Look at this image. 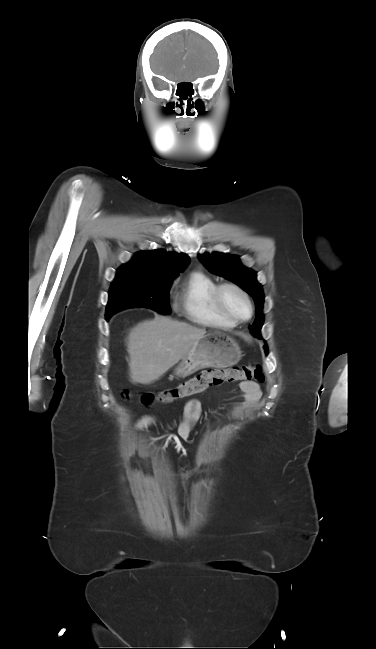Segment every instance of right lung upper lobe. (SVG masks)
<instances>
[{
    "label": "right lung upper lobe",
    "instance_id": "right-lung-upper-lobe-1",
    "mask_svg": "<svg viewBox=\"0 0 376 649\" xmlns=\"http://www.w3.org/2000/svg\"><path fill=\"white\" fill-rule=\"evenodd\" d=\"M190 262L184 254L165 250L141 251L129 262L150 275H160L182 271Z\"/></svg>",
    "mask_w": 376,
    "mask_h": 649
}]
</instances>
